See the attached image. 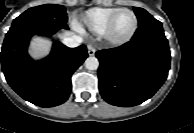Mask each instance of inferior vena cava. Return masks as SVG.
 I'll use <instances>...</instances> for the list:
<instances>
[{
  "label": "inferior vena cava",
  "instance_id": "602c4592",
  "mask_svg": "<svg viewBox=\"0 0 194 133\" xmlns=\"http://www.w3.org/2000/svg\"><path fill=\"white\" fill-rule=\"evenodd\" d=\"M82 41V37L77 35H70L63 38V43L70 48L79 46Z\"/></svg>",
  "mask_w": 194,
  "mask_h": 133
}]
</instances>
